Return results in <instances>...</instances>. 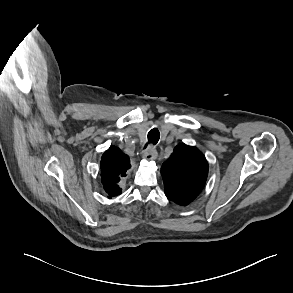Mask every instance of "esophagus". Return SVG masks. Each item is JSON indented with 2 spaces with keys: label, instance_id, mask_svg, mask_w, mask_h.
<instances>
[{
  "label": "esophagus",
  "instance_id": "34e87169",
  "mask_svg": "<svg viewBox=\"0 0 293 293\" xmlns=\"http://www.w3.org/2000/svg\"><path fill=\"white\" fill-rule=\"evenodd\" d=\"M157 151L153 146H149V148L144 152L142 158L144 159H156Z\"/></svg>",
  "mask_w": 293,
  "mask_h": 293
}]
</instances>
